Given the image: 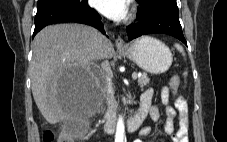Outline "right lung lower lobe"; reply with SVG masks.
Masks as SVG:
<instances>
[{
  "instance_id": "1",
  "label": "right lung lower lobe",
  "mask_w": 227,
  "mask_h": 142,
  "mask_svg": "<svg viewBox=\"0 0 227 142\" xmlns=\"http://www.w3.org/2000/svg\"><path fill=\"white\" fill-rule=\"evenodd\" d=\"M59 22L91 25L105 34L100 15L89 7L88 0H83L76 5H61L37 10L33 36L45 26Z\"/></svg>"
}]
</instances>
